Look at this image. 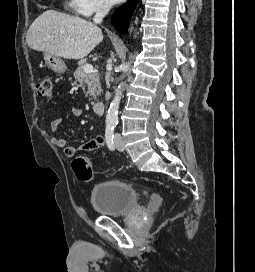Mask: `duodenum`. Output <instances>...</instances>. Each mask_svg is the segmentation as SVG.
<instances>
[{
	"instance_id": "410a0bca",
	"label": "duodenum",
	"mask_w": 255,
	"mask_h": 272,
	"mask_svg": "<svg viewBox=\"0 0 255 272\" xmlns=\"http://www.w3.org/2000/svg\"><path fill=\"white\" fill-rule=\"evenodd\" d=\"M105 103L102 100L96 101L93 105V111L96 114H102L104 112Z\"/></svg>"
}]
</instances>
